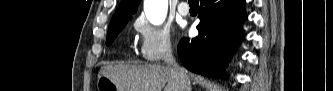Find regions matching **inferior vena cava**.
Returning a JSON list of instances; mask_svg holds the SVG:
<instances>
[{"label": "inferior vena cava", "mask_w": 333, "mask_h": 91, "mask_svg": "<svg viewBox=\"0 0 333 91\" xmlns=\"http://www.w3.org/2000/svg\"><path fill=\"white\" fill-rule=\"evenodd\" d=\"M165 62L167 64V67L170 68L172 77L178 81L180 86V91H191L190 84L187 81L183 70L179 67V65L175 61L174 56L172 54V50H169Z\"/></svg>", "instance_id": "1"}]
</instances>
